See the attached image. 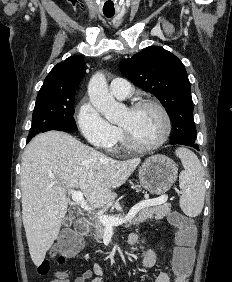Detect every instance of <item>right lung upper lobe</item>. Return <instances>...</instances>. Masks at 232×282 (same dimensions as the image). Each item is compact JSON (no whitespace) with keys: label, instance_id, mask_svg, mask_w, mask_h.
<instances>
[{"label":"right lung upper lobe","instance_id":"obj_1","mask_svg":"<svg viewBox=\"0 0 232 282\" xmlns=\"http://www.w3.org/2000/svg\"><path fill=\"white\" fill-rule=\"evenodd\" d=\"M82 56H72L53 67L38 94H75L85 75Z\"/></svg>","mask_w":232,"mask_h":282}]
</instances>
